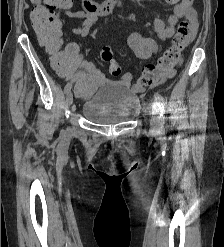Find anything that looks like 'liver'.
Wrapping results in <instances>:
<instances>
[{
	"label": "liver",
	"mask_w": 224,
	"mask_h": 247,
	"mask_svg": "<svg viewBox=\"0 0 224 247\" xmlns=\"http://www.w3.org/2000/svg\"><path fill=\"white\" fill-rule=\"evenodd\" d=\"M30 2H32V4H34L35 0H30Z\"/></svg>",
	"instance_id": "liver-1"
}]
</instances>
